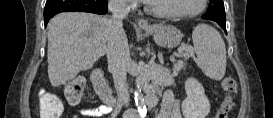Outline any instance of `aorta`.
<instances>
[{
	"label": "aorta",
	"mask_w": 273,
	"mask_h": 118,
	"mask_svg": "<svg viewBox=\"0 0 273 118\" xmlns=\"http://www.w3.org/2000/svg\"><path fill=\"white\" fill-rule=\"evenodd\" d=\"M134 99H135V103H136L138 112L140 114L146 113V105L144 102V98H143V95L139 89H136V91L134 93Z\"/></svg>",
	"instance_id": "1"
}]
</instances>
